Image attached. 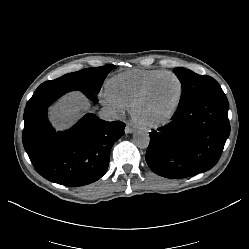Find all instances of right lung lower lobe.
<instances>
[{"label": "right lung lower lobe", "mask_w": 249, "mask_h": 249, "mask_svg": "<svg viewBox=\"0 0 249 249\" xmlns=\"http://www.w3.org/2000/svg\"><path fill=\"white\" fill-rule=\"evenodd\" d=\"M73 90L46 89L33 94L24 111L23 145L41 176L58 184L77 187L92 183L105 174L110 150L124 134L125 124L106 122L89 113L69 130L56 132L48 121L47 109ZM87 97L97 101L96 96L95 100Z\"/></svg>", "instance_id": "right-lung-lower-lobe-1"}]
</instances>
